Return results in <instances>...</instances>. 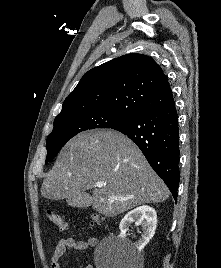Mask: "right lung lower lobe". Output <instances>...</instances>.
I'll return each instance as SVG.
<instances>
[{
    "mask_svg": "<svg viewBox=\"0 0 221 268\" xmlns=\"http://www.w3.org/2000/svg\"><path fill=\"white\" fill-rule=\"evenodd\" d=\"M112 129L128 136L141 149L177 200L180 172L179 127L175 103L144 113Z\"/></svg>",
    "mask_w": 221,
    "mask_h": 268,
    "instance_id": "1",
    "label": "right lung lower lobe"
}]
</instances>
